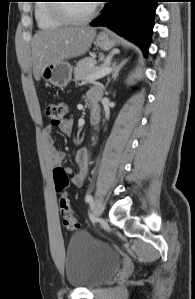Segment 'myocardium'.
<instances>
[{
    "label": "myocardium",
    "mask_w": 195,
    "mask_h": 299,
    "mask_svg": "<svg viewBox=\"0 0 195 299\" xmlns=\"http://www.w3.org/2000/svg\"><path fill=\"white\" fill-rule=\"evenodd\" d=\"M67 2V1H58ZM69 3H55L52 6L54 14L66 23L70 24H82L91 21L98 13L97 5L94 3L92 5L91 11L85 16H75L71 14L68 10Z\"/></svg>",
    "instance_id": "f54148a6"
}]
</instances>
